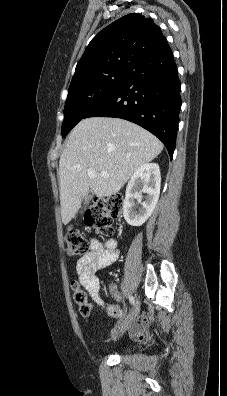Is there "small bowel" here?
<instances>
[{
  "instance_id": "1",
  "label": "small bowel",
  "mask_w": 227,
  "mask_h": 396,
  "mask_svg": "<svg viewBox=\"0 0 227 396\" xmlns=\"http://www.w3.org/2000/svg\"><path fill=\"white\" fill-rule=\"evenodd\" d=\"M119 257V251L116 248V242L110 240L103 247L97 240H91V251L78 260L77 273L80 283L90 293L93 300L102 305L103 302L99 297L100 281L97 272L112 265ZM110 295L115 300H121L122 296L116 285L110 287ZM115 315L122 319L125 317V312L119 307L115 306ZM148 324L147 316H140L133 320L130 324V334L133 337H142L145 327Z\"/></svg>"
}]
</instances>
